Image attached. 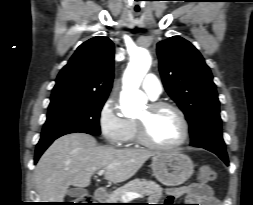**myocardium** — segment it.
<instances>
[{
  "mask_svg": "<svg viewBox=\"0 0 253 205\" xmlns=\"http://www.w3.org/2000/svg\"><path fill=\"white\" fill-rule=\"evenodd\" d=\"M148 107H149V110L152 114L156 113L162 109H170V110L174 111L178 115V117L181 121L182 128H183V134H182L181 139L174 144L160 145L151 139L149 132H148L147 121L144 119H136L135 123H136L137 140L142 145H144L148 148L154 149V150L167 151V150L177 149L187 142V140L189 138V134H190V127H189V122L187 120V117L180 107H178L177 105H175L171 102H167V101H153L152 103L149 104Z\"/></svg>",
  "mask_w": 253,
  "mask_h": 205,
  "instance_id": "1",
  "label": "myocardium"
}]
</instances>
